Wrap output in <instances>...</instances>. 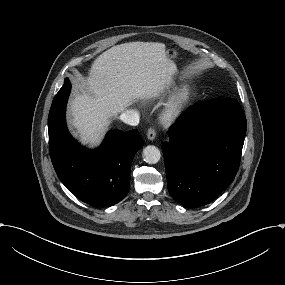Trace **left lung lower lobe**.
<instances>
[{
    "instance_id": "left-lung-lower-lobe-1",
    "label": "left lung lower lobe",
    "mask_w": 285,
    "mask_h": 285,
    "mask_svg": "<svg viewBox=\"0 0 285 285\" xmlns=\"http://www.w3.org/2000/svg\"><path fill=\"white\" fill-rule=\"evenodd\" d=\"M246 118L233 98L202 102L185 113L162 144L168 190L185 207L215 200L238 171Z\"/></svg>"
}]
</instances>
